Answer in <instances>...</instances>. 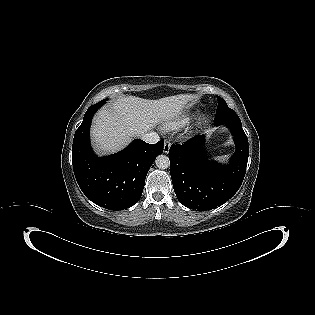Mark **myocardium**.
Masks as SVG:
<instances>
[{
    "instance_id": "myocardium-1",
    "label": "myocardium",
    "mask_w": 315,
    "mask_h": 315,
    "mask_svg": "<svg viewBox=\"0 0 315 315\" xmlns=\"http://www.w3.org/2000/svg\"><path fill=\"white\" fill-rule=\"evenodd\" d=\"M206 122V115L205 114H201L196 121V127H201L204 123Z\"/></svg>"
}]
</instances>
